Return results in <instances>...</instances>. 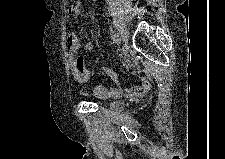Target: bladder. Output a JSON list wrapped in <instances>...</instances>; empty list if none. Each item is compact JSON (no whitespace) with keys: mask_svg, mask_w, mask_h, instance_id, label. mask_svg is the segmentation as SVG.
I'll list each match as a JSON object with an SVG mask.
<instances>
[{"mask_svg":"<svg viewBox=\"0 0 225 159\" xmlns=\"http://www.w3.org/2000/svg\"><path fill=\"white\" fill-rule=\"evenodd\" d=\"M107 105L115 111L122 110L124 108V103L120 99L107 100Z\"/></svg>","mask_w":225,"mask_h":159,"instance_id":"1","label":"bladder"}]
</instances>
